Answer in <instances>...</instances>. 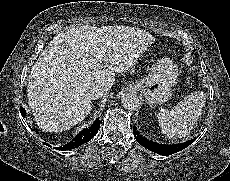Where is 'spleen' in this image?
Returning a JSON list of instances; mask_svg holds the SVG:
<instances>
[{"instance_id": "1", "label": "spleen", "mask_w": 230, "mask_h": 181, "mask_svg": "<svg viewBox=\"0 0 230 181\" xmlns=\"http://www.w3.org/2000/svg\"><path fill=\"white\" fill-rule=\"evenodd\" d=\"M203 105V94L193 92L172 109H161L157 113V120L162 134L173 139L188 136L201 113Z\"/></svg>"}]
</instances>
